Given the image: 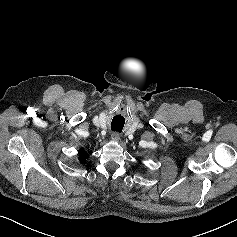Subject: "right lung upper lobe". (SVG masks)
Wrapping results in <instances>:
<instances>
[{
	"label": "right lung upper lobe",
	"mask_w": 237,
	"mask_h": 237,
	"mask_svg": "<svg viewBox=\"0 0 237 237\" xmlns=\"http://www.w3.org/2000/svg\"><path fill=\"white\" fill-rule=\"evenodd\" d=\"M79 152L82 154L80 157V162L82 163L85 161V158L88 156V154L84 150H80Z\"/></svg>",
	"instance_id": "right-lung-upper-lobe-1"
}]
</instances>
